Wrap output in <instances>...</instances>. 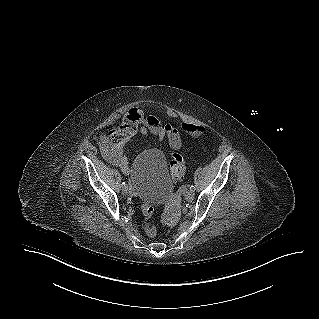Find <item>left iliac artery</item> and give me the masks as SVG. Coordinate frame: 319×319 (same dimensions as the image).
Returning <instances> with one entry per match:
<instances>
[{"instance_id":"1","label":"left iliac artery","mask_w":319,"mask_h":319,"mask_svg":"<svg viewBox=\"0 0 319 319\" xmlns=\"http://www.w3.org/2000/svg\"><path fill=\"white\" fill-rule=\"evenodd\" d=\"M190 190L191 191H194L195 190V187L192 185V186H190Z\"/></svg>"}]
</instances>
